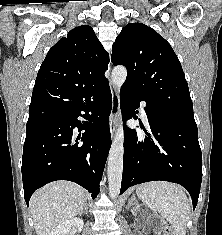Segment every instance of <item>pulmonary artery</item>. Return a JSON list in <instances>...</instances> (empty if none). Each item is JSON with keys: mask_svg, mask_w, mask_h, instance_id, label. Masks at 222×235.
<instances>
[{"mask_svg": "<svg viewBox=\"0 0 222 235\" xmlns=\"http://www.w3.org/2000/svg\"><path fill=\"white\" fill-rule=\"evenodd\" d=\"M140 106H141V111H142V115H143V117L146 119V113H145V110H144V108H145V102H141L140 103Z\"/></svg>", "mask_w": 222, "mask_h": 235, "instance_id": "1", "label": "pulmonary artery"}]
</instances>
